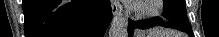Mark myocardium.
Segmentation results:
<instances>
[{
  "mask_svg": "<svg viewBox=\"0 0 219 37\" xmlns=\"http://www.w3.org/2000/svg\"><path fill=\"white\" fill-rule=\"evenodd\" d=\"M160 3V0L139 1L132 5V11L138 19L147 20L157 15Z\"/></svg>",
  "mask_w": 219,
  "mask_h": 37,
  "instance_id": "myocardium-1",
  "label": "myocardium"
}]
</instances>
